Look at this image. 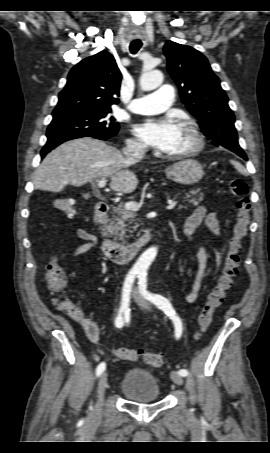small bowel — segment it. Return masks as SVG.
<instances>
[{
  "instance_id": "obj_1",
  "label": "small bowel",
  "mask_w": 270,
  "mask_h": 453,
  "mask_svg": "<svg viewBox=\"0 0 270 453\" xmlns=\"http://www.w3.org/2000/svg\"><path fill=\"white\" fill-rule=\"evenodd\" d=\"M201 223H204L212 233L218 234L219 223L216 214L207 212L206 208L201 206L192 213L185 223L184 231L189 239L193 237L196 228ZM75 234L79 239L83 240L84 243L76 247L72 253L73 257H79L90 252L97 243L96 236L85 229L78 228ZM196 259V272L191 288L186 294V301L188 303H193L198 299L202 285L210 271V267L207 263V252L204 247L199 248ZM78 306L81 311V316L73 319L82 325L91 342L100 345V332L97 323L86 315L85 310L81 305ZM112 354L117 359L126 361H137L140 358L138 350L124 347L113 349Z\"/></svg>"
}]
</instances>
